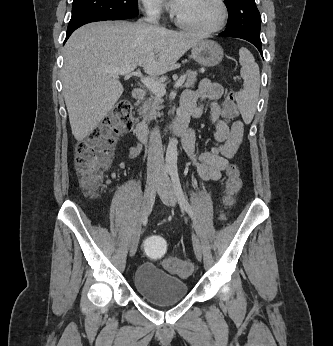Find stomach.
Segmentation results:
<instances>
[{
  "instance_id": "1",
  "label": "stomach",
  "mask_w": 333,
  "mask_h": 346,
  "mask_svg": "<svg viewBox=\"0 0 333 346\" xmlns=\"http://www.w3.org/2000/svg\"><path fill=\"white\" fill-rule=\"evenodd\" d=\"M223 54V49L218 43L207 39H203L191 49L192 58L205 67H213L219 64Z\"/></svg>"
}]
</instances>
